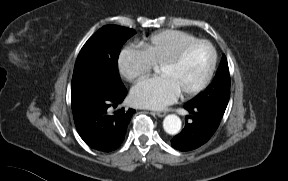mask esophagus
I'll return each instance as SVG.
<instances>
[{
	"instance_id": "obj_1",
	"label": "esophagus",
	"mask_w": 288,
	"mask_h": 181,
	"mask_svg": "<svg viewBox=\"0 0 288 181\" xmlns=\"http://www.w3.org/2000/svg\"><path fill=\"white\" fill-rule=\"evenodd\" d=\"M158 117H164L166 115L165 111H156L154 112Z\"/></svg>"
}]
</instances>
